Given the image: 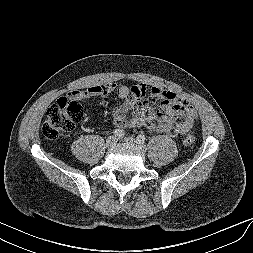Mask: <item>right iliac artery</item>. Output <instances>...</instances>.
Wrapping results in <instances>:
<instances>
[{
	"label": "right iliac artery",
	"mask_w": 253,
	"mask_h": 253,
	"mask_svg": "<svg viewBox=\"0 0 253 253\" xmlns=\"http://www.w3.org/2000/svg\"><path fill=\"white\" fill-rule=\"evenodd\" d=\"M113 134L115 135V137H117L118 139H121V138H123V136H124V131L123 130H120V129H115L114 131H113Z\"/></svg>",
	"instance_id": "1"
}]
</instances>
